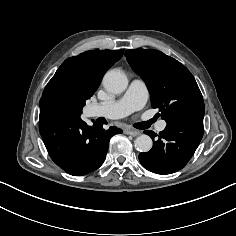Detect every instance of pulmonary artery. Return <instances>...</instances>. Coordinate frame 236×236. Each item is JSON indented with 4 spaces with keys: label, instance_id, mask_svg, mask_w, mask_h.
I'll return each instance as SVG.
<instances>
[{
    "label": "pulmonary artery",
    "instance_id": "pulmonary-artery-1",
    "mask_svg": "<svg viewBox=\"0 0 236 236\" xmlns=\"http://www.w3.org/2000/svg\"><path fill=\"white\" fill-rule=\"evenodd\" d=\"M147 99L148 90L145 82L140 78H135L122 97L116 100L93 103L87 107V114L90 117H96L100 115L101 110L108 109L114 113L116 118H122L140 110ZM165 128L166 122L161 120L157 125V130L163 131Z\"/></svg>",
    "mask_w": 236,
    "mask_h": 236
}]
</instances>
